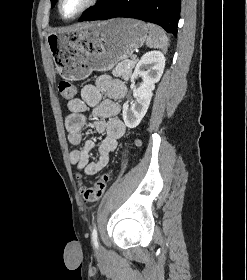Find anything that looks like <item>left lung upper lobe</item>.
Instances as JSON below:
<instances>
[{
	"label": "left lung upper lobe",
	"mask_w": 247,
	"mask_h": 280,
	"mask_svg": "<svg viewBox=\"0 0 247 280\" xmlns=\"http://www.w3.org/2000/svg\"><path fill=\"white\" fill-rule=\"evenodd\" d=\"M51 1H54V0H51ZM107 1H108V0H100L99 3H98L96 6L92 7L88 12L94 10V9L97 8V7H100V6L104 5ZM88 12H87V13H88Z\"/></svg>",
	"instance_id": "obj_1"
}]
</instances>
